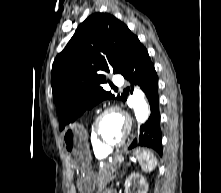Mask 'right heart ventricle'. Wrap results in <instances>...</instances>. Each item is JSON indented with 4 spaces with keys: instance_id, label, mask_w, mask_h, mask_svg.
<instances>
[{
    "instance_id": "e07e8e85",
    "label": "right heart ventricle",
    "mask_w": 221,
    "mask_h": 193,
    "mask_svg": "<svg viewBox=\"0 0 221 193\" xmlns=\"http://www.w3.org/2000/svg\"><path fill=\"white\" fill-rule=\"evenodd\" d=\"M90 143H91V146H92V150H93V153L95 154L96 157L98 158H103L105 157L109 152L102 148L94 139L93 137V134H92V131L90 133Z\"/></svg>"
}]
</instances>
